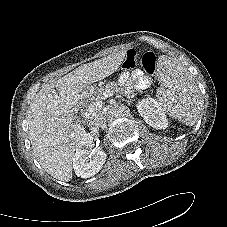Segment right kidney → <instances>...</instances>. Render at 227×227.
<instances>
[{"label": "right kidney", "mask_w": 227, "mask_h": 227, "mask_svg": "<svg viewBox=\"0 0 227 227\" xmlns=\"http://www.w3.org/2000/svg\"><path fill=\"white\" fill-rule=\"evenodd\" d=\"M94 145V137L90 134H86L78 143L73 158V168L78 177L90 178L94 176L105 163L107 154L99 149L91 151Z\"/></svg>", "instance_id": "right-kidney-1"}]
</instances>
